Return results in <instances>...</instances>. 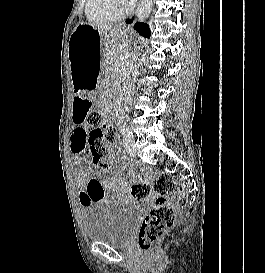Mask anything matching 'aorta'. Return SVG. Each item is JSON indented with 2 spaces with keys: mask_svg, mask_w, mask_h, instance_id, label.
Masks as SVG:
<instances>
[{
  "mask_svg": "<svg viewBox=\"0 0 265 273\" xmlns=\"http://www.w3.org/2000/svg\"><path fill=\"white\" fill-rule=\"evenodd\" d=\"M152 7H153V0H142L136 12L138 21L140 22L145 21L149 17L152 11Z\"/></svg>",
  "mask_w": 265,
  "mask_h": 273,
  "instance_id": "obj_1",
  "label": "aorta"
}]
</instances>
